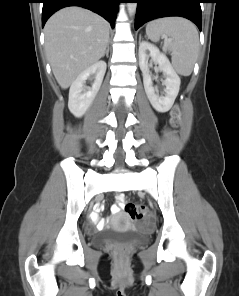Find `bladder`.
<instances>
[{
    "label": "bladder",
    "mask_w": 239,
    "mask_h": 296,
    "mask_svg": "<svg viewBox=\"0 0 239 296\" xmlns=\"http://www.w3.org/2000/svg\"><path fill=\"white\" fill-rule=\"evenodd\" d=\"M146 240V235L143 233H136L133 229H128L126 231H118L115 229H109L108 231L96 234L93 237V242L95 245H106L113 244L116 242H142Z\"/></svg>",
    "instance_id": "1"
}]
</instances>
